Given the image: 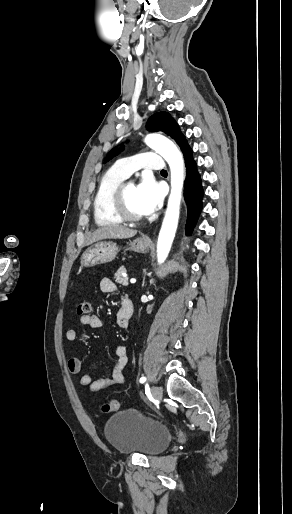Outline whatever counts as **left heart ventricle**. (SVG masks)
Returning <instances> with one entry per match:
<instances>
[{
    "instance_id": "1",
    "label": "left heart ventricle",
    "mask_w": 292,
    "mask_h": 514,
    "mask_svg": "<svg viewBox=\"0 0 292 514\" xmlns=\"http://www.w3.org/2000/svg\"><path fill=\"white\" fill-rule=\"evenodd\" d=\"M124 204L131 214L141 215L144 213L136 194V187L133 184H129L125 189Z\"/></svg>"
}]
</instances>
